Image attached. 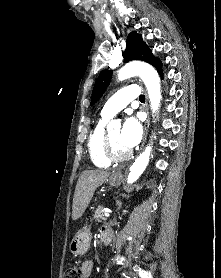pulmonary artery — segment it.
<instances>
[{"label": "pulmonary artery", "mask_w": 221, "mask_h": 278, "mask_svg": "<svg viewBox=\"0 0 221 278\" xmlns=\"http://www.w3.org/2000/svg\"><path fill=\"white\" fill-rule=\"evenodd\" d=\"M139 95V88L135 84L120 89L105 103L101 115L106 118H111L126 107L133 99L139 97Z\"/></svg>", "instance_id": "pulmonary-artery-1"}]
</instances>
